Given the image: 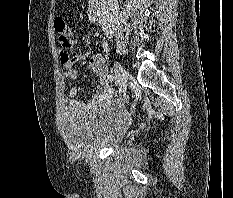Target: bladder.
I'll return each instance as SVG.
<instances>
[{
  "mask_svg": "<svg viewBox=\"0 0 233 198\" xmlns=\"http://www.w3.org/2000/svg\"><path fill=\"white\" fill-rule=\"evenodd\" d=\"M131 116L120 102L90 112L68 110L62 119L67 143L81 154L100 148H117L124 140Z\"/></svg>",
  "mask_w": 233,
  "mask_h": 198,
  "instance_id": "1",
  "label": "bladder"
}]
</instances>
